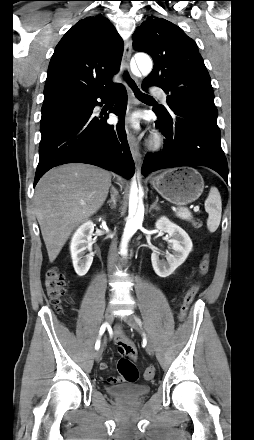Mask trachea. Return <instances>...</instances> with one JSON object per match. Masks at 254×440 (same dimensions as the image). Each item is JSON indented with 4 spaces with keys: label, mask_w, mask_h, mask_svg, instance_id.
<instances>
[{
    "label": "trachea",
    "mask_w": 254,
    "mask_h": 440,
    "mask_svg": "<svg viewBox=\"0 0 254 440\" xmlns=\"http://www.w3.org/2000/svg\"><path fill=\"white\" fill-rule=\"evenodd\" d=\"M124 77L126 79V81L128 82V84L130 85V87L133 89L135 95L137 98L141 99V100H150L153 99L151 96L146 95L144 93H142L139 88L137 87L136 83L130 78L128 73L124 74ZM114 93L111 94V97H114Z\"/></svg>",
    "instance_id": "trachea-1"
}]
</instances>
